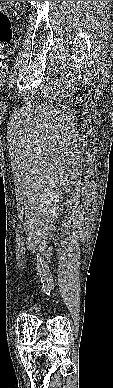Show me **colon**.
Instances as JSON below:
<instances>
[{
    "instance_id": "1",
    "label": "colon",
    "mask_w": 113,
    "mask_h": 388,
    "mask_svg": "<svg viewBox=\"0 0 113 388\" xmlns=\"http://www.w3.org/2000/svg\"><path fill=\"white\" fill-rule=\"evenodd\" d=\"M13 37V29L8 12L0 9V51Z\"/></svg>"
}]
</instances>
